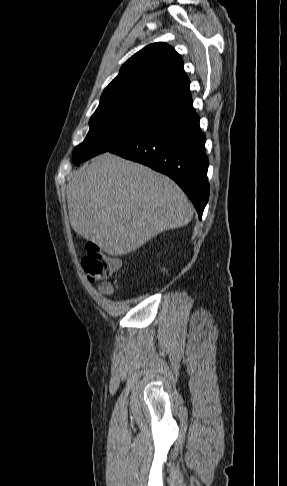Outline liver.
Segmentation results:
<instances>
[{"label": "liver", "instance_id": "1", "mask_svg": "<svg viewBox=\"0 0 287 486\" xmlns=\"http://www.w3.org/2000/svg\"><path fill=\"white\" fill-rule=\"evenodd\" d=\"M67 186L70 224L112 256L135 251L193 217L185 193L167 176L106 152L74 172Z\"/></svg>", "mask_w": 287, "mask_h": 486}]
</instances>
